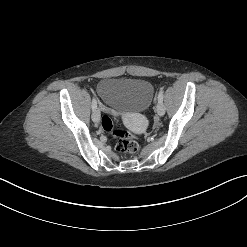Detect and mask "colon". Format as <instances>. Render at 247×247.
<instances>
[{"instance_id":"obj_1","label":"colon","mask_w":247,"mask_h":247,"mask_svg":"<svg viewBox=\"0 0 247 247\" xmlns=\"http://www.w3.org/2000/svg\"><path fill=\"white\" fill-rule=\"evenodd\" d=\"M102 128L116 138V150L120 153L131 154L138 150V143L133 135L127 131L114 128L113 121L109 115H104L101 121Z\"/></svg>"}]
</instances>
